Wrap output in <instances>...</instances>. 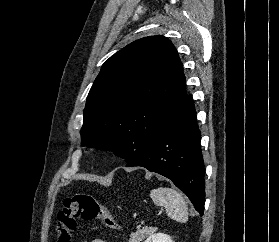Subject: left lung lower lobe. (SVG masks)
I'll return each mask as SVG.
<instances>
[{
  "instance_id": "obj_1",
  "label": "left lung lower lobe",
  "mask_w": 279,
  "mask_h": 242,
  "mask_svg": "<svg viewBox=\"0 0 279 242\" xmlns=\"http://www.w3.org/2000/svg\"><path fill=\"white\" fill-rule=\"evenodd\" d=\"M192 96L180 114L140 155L127 163L169 178L203 215L205 172Z\"/></svg>"
}]
</instances>
